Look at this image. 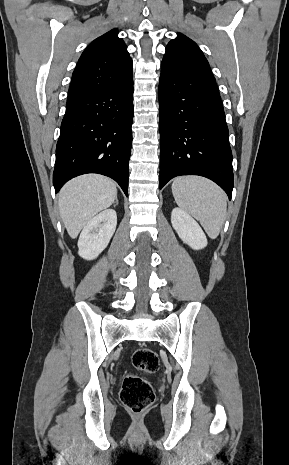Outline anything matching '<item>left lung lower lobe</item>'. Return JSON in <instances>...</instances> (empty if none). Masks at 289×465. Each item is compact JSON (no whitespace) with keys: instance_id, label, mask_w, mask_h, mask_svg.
<instances>
[{"instance_id":"left-lung-lower-lobe-1","label":"left lung lower lobe","mask_w":289,"mask_h":465,"mask_svg":"<svg viewBox=\"0 0 289 465\" xmlns=\"http://www.w3.org/2000/svg\"><path fill=\"white\" fill-rule=\"evenodd\" d=\"M160 189L173 177L200 175L232 196V152L215 80L161 72Z\"/></svg>"}]
</instances>
